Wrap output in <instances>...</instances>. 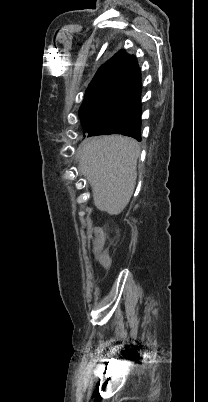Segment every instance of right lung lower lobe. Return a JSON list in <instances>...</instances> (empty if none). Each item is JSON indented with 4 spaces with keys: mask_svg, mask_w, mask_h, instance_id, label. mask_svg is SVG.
<instances>
[{
    "mask_svg": "<svg viewBox=\"0 0 208 402\" xmlns=\"http://www.w3.org/2000/svg\"><path fill=\"white\" fill-rule=\"evenodd\" d=\"M141 73L136 58L110 84L120 92L122 109L116 120L97 117L84 122L88 136L122 134L141 140Z\"/></svg>",
    "mask_w": 208,
    "mask_h": 402,
    "instance_id": "1",
    "label": "right lung lower lobe"
}]
</instances>
